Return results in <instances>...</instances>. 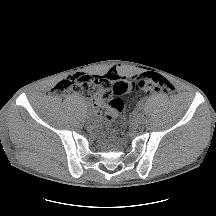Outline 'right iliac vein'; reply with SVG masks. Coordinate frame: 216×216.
<instances>
[{
    "label": "right iliac vein",
    "instance_id": "obj_1",
    "mask_svg": "<svg viewBox=\"0 0 216 216\" xmlns=\"http://www.w3.org/2000/svg\"><path fill=\"white\" fill-rule=\"evenodd\" d=\"M87 118L88 119H92V115L91 114H87Z\"/></svg>",
    "mask_w": 216,
    "mask_h": 216
}]
</instances>
